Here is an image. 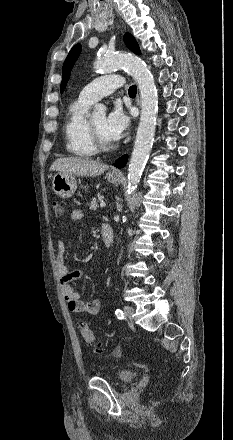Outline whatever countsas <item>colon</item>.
I'll use <instances>...</instances> for the list:
<instances>
[{
    "label": "colon",
    "mask_w": 233,
    "mask_h": 440,
    "mask_svg": "<svg viewBox=\"0 0 233 440\" xmlns=\"http://www.w3.org/2000/svg\"><path fill=\"white\" fill-rule=\"evenodd\" d=\"M52 208H53V213H54L55 216L60 217V216L63 215V208H62L60 203L54 202L53 205H52ZM78 327H79V330L81 332V335H82L84 341L88 345L93 346L95 348V351H96L97 354H102V350L100 349V347H99V345H98V343H97V341L95 339L94 333L90 329V327L87 324V322L84 321V320L78 321ZM112 354L114 356L118 357V356H120L121 351H120L119 348H116L112 352Z\"/></svg>",
    "instance_id": "5ec220e1"
}]
</instances>
